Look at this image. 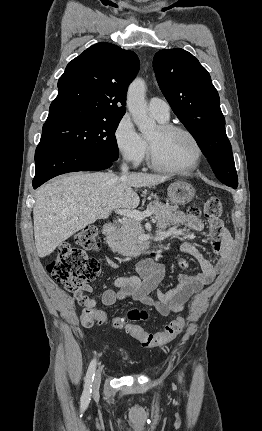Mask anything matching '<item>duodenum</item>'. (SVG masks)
Returning a JSON list of instances; mask_svg holds the SVG:
<instances>
[{"mask_svg":"<svg viewBox=\"0 0 262 431\" xmlns=\"http://www.w3.org/2000/svg\"><path fill=\"white\" fill-rule=\"evenodd\" d=\"M117 231V226L112 223H106L102 227V234L112 242H115L117 239Z\"/></svg>","mask_w":262,"mask_h":431,"instance_id":"410a0bca","label":"duodenum"}]
</instances>
